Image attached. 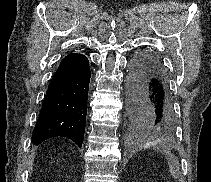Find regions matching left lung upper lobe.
<instances>
[{
	"instance_id": "obj_1",
	"label": "left lung upper lobe",
	"mask_w": 211,
	"mask_h": 182,
	"mask_svg": "<svg viewBox=\"0 0 211 182\" xmlns=\"http://www.w3.org/2000/svg\"><path fill=\"white\" fill-rule=\"evenodd\" d=\"M146 132H147V133H152L153 130H152V128L149 127V128L146 129Z\"/></svg>"
}]
</instances>
